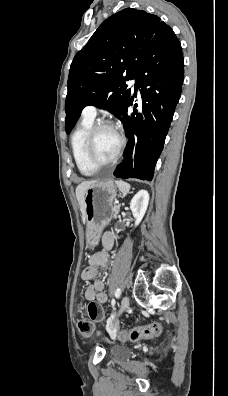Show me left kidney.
Here are the masks:
<instances>
[{"instance_id": "obj_1", "label": "left kidney", "mask_w": 228, "mask_h": 396, "mask_svg": "<svg viewBox=\"0 0 228 396\" xmlns=\"http://www.w3.org/2000/svg\"><path fill=\"white\" fill-rule=\"evenodd\" d=\"M149 203V194L146 190H140L131 200L130 209L135 218V226L143 219Z\"/></svg>"}]
</instances>
